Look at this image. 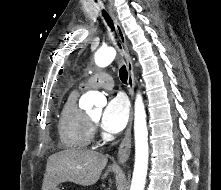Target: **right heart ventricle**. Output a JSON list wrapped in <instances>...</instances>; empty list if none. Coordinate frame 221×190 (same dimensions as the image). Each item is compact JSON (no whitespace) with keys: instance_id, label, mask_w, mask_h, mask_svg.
<instances>
[{"instance_id":"right-heart-ventricle-1","label":"right heart ventricle","mask_w":221,"mask_h":190,"mask_svg":"<svg viewBox=\"0 0 221 190\" xmlns=\"http://www.w3.org/2000/svg\"><path fill=\"white\" fill-rule=\"evenodd\" d=\"M79 92V90H73L69 93L59 117V138L66 149H84L92 139V123L87 114L77 105Z\"/></svg>"}]
</instances>
